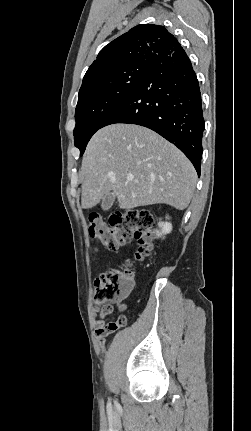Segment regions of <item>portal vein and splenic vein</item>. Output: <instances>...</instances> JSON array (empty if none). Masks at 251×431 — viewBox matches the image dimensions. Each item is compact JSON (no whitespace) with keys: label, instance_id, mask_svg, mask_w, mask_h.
Wrapping results in <instances>:
<instances>
[{"label":"portal vein and splenic vein","instance_id":"1","mask_svg":"<svg viewBox=\"0 0 251 431\" xmlns=\"http://www.w3.org/2000/svg\"><path fill=\"white\" fill-rule=\"evenodd\" d=\"M127 179H128L129 181H132V180L134 179V177H133V176H128V177H127Z\"/></svg>","mask_w":251,"mask_h":431}]
</instances>
